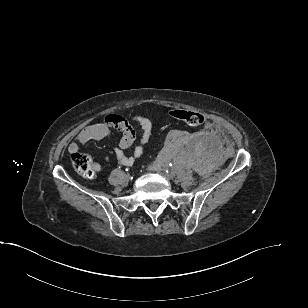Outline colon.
I'll list each match as a JSON object with an SVG mask.
<instances>
[{
	"label": "colon",
	"mask_w": 308,
	"mask_h": 308,
	"mask_svg": "<svg viewBox=\"0 0 308 308\" xmlns=\"http://www.w3.org/2000/svg\"><path fill=\"white\" fill-rule=\"evenodd\" d=\"M170 115L191 127H198L203 124L204 118L197 112L174 109ZM72 165L75 170L85 177H92L95 174L92 160L87 153L74 152L71 155Z\"/></svg>",
	"instance_id": "colon-1"
}]
</instances>
